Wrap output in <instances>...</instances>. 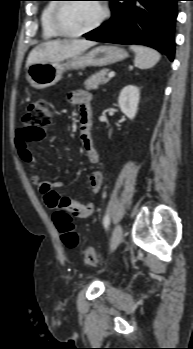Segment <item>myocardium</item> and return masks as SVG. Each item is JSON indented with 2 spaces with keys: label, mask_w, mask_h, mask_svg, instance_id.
<instances>
[{
  "label": "myocardium",
  "mask_w": 193,
  "mask_h": 349,
  "mask_svg": "<svg viewBox=\"0 0 193 349\" xmlns=\"http://www.w3.org/2000/svg\"><path fill=\"white\" fill-rule=\"evenodd\" d=\"M62 2H57L52 10L51 14V25L52 28L55 30V32L62 37L67 38H77L84 36L96 29H98L108 18L109 16V9L106 3L104 2H98L100 8H101V14L99 18L88 28L78 31V32H70L63 28L61 21H60V15L62 12V9L67 5L69 2L67 0H60Z\"/></svg>",
  "instance_id": "f54148a6"
}]
</instances>
